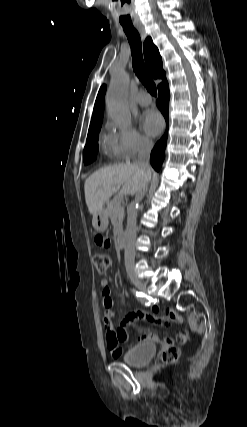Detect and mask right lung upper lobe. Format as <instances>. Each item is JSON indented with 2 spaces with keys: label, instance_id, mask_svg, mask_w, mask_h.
Wrapping results in <instances>:
<instances>
[{
  "label": "right lung upper lobe",
  "instance_id": "cb5924a9",
  "mask_svg": "<svg viewBox=\"0 0 247 427\" xmlns=\"http://www.w3.org/2000/svg\"><path fill=\"white\" fill-rule=\"evenodd\" d=\"M144 58L149 72L151 73L154 79L162 78L163 81L165 78V71L162 67V58L159 54L157 47L153 44L152 39L148 37L144 43ZM106 91V86L103 85L97 95L96 102L94 105V111L92 115V120L90 123V128L102 125L103 120V110H104V95Z\"/></svg>",
  "mask_w": 247,
  "mask_h": 427
}]
</instances>
